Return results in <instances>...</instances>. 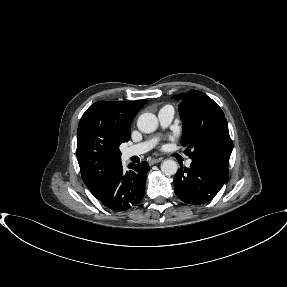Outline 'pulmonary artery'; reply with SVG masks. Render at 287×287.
Instances as JSON below:
<instances>
[{
	"label": "pulmonary artery",
	"instance_id": "pulmonary-artery-1",
	"mask_svg": "<svg viewBox=\"0 0 287 287\" xmlns=\"http://www.w3.org/2000/svg\"><path fill=\"white\" fill-rule=\"evenodd\" d=\"M173 118H174V110L172 107H169V106L163 107L158 113L159 122L161 126L163 127L168 126L172 122ZM154 143L155 141L151 139V140L133 145L124 150L123 156L125 159H128L132 156L143 154L147 152L148 150H150L153 147ZM190 164H191V160H188L186 162V165L190 166Z\"/></svg>",
	"mask_w": 287,
	"mask_h": 287
}]
</instances>
